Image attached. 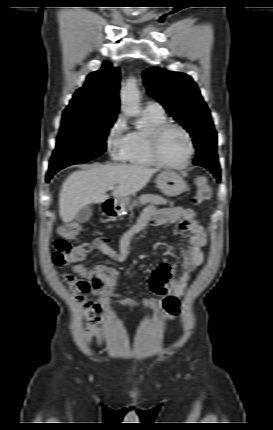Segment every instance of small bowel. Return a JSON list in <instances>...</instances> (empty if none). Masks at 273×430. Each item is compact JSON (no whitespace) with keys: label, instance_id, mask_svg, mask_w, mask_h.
Returning a JSON list of instances; mask_svg holds the SVG:
<instances>
[{"label":"small bowel","instance_id":"obj_1","mask_svg":"<svg viewBox=\"0 0 273 430\" xmlns=\"http://www.w3.org/2000/svg\"><path fill=\"white\" fill-rule=\"evenodd\" d=\"M175 223L180 224L181 230L189 232L187 248L181 252L182 273L180 277L172 279L176 267L174 264L162 263L148 279V287L154 296L144 298L141 301L128 300L126 302L130 309L142 306L158 311L162 313L168 323L176 319L177 300L186 290L190 274L198 266L202 265L205 259L203 248L206 245L207 236L203 226L196 220L195 212L192 209L181 206L160 208L152 205L145 209L138 221L121 237L118 252L115 251L105 237H99L93 242L96 250L116 262H123L129 254L132 238L148 224ZM73 271L82 276L84 285L88 287L92 294L100 296L99 304L105 310V315L98 318L97 321H104L110 312L112 299L120 297L116 292L119 286V270L115 267L97 264L92 269L83 265H75ZM85 338L90 346H95L100 350L104 349V337L99 326L93 325ZM93 339H95V342H93Z\"/></svg>","mask_w":273,"mask_h":430}]
</instances>
